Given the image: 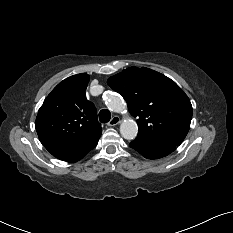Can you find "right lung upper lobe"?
I'll return each mask as SVG.
<instances>
[{
    "instance_id": "obj_1",
    "label": "right lung upper lobe",
    "mask_w": 233,
    "mask_h": 233,
    "mask_svg": "<svg viewBox=\"0 0 233 233\" xmlns=\"http://www.w3.org/2000/svg\"><path fill=\"white\" fill-rule=\"evenodd\" d=\"M87 74L60 82L44 100L36 117V131L45 147L78 146L101 135L94 104L86 99Z\"/></svg>"
}]
</instances>
